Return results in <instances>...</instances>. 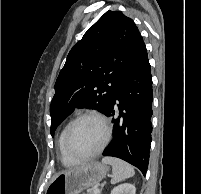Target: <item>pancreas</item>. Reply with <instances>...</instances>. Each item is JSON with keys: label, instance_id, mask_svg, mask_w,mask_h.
Instances as JSON below:
<instances>
[{"label": "pancreas", "instance_id": "obj_1", "mask_svg": "<svg viewBox=\"0 0 201 194\" xmlns=\"http://www.w3.org/2000/svg\"><path fill=\"white\" fill-rule=\"evenodd\" d=\"M87 194H94V191H90ZM99 194H101V191L99 192Z\"/></svg>", "mask_w": 201, "mask_h": 194}]
</instances>
